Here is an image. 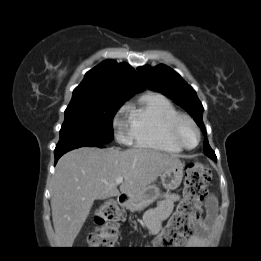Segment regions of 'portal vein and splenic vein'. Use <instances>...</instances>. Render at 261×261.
Returning <instances> with one entry per match:
<instances>
[{"label":"portal vein and splenic vein","instance_id":"1","mask_svg":"<svg viewBox=\"0 0 261 261\" xmlns=\"http://www.w3.org/2000/svg\"><path fill=\"white\" fill-rule=\"evenodd\" d=\"M123 180H124L123 177H118V178H116V180H115V184L118 185V184L122 183Z\"/></svg>","mask_w":261,"mask_h":261}]
</instances>
